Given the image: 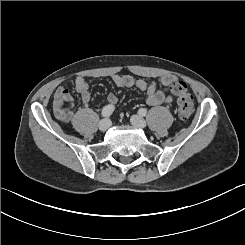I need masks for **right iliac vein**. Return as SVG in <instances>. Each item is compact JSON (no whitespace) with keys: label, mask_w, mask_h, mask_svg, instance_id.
Returning <instances> with one entry per match:
<instances>
[{"label":"right iliac vein","mask_w":245,"mask_h":245,"mask_svg":"<svg viewBox=\"0 0 245 245\" xmlns=\"http://www.w3.org/2000/svg\"><path fill=\"white\" fill-rule=\"evenodd\" d=\"M111 126V121L109 119H103L100 123H99V129L101 131H106L109 127Z\"/></svg>","instance_id":"63e3f726"}]
</instances>
